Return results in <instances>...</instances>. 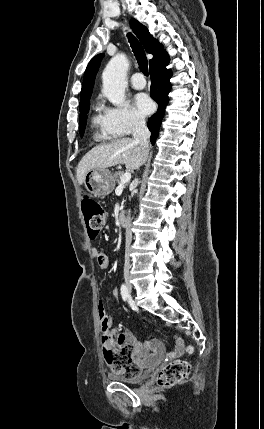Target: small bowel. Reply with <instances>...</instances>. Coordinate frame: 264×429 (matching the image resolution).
I'll list each match as a JSON object with an SVG mask.
<instances>
[{"label": "small bowel", "instance_id": "small-bowel-1", "mask_svg": "<svg viewBox=\"0 0 264 429\" xmlns=\"http://www.w3.org/2000/svg\"><path fill=\"white\" fill-rule=\"evenodd\" d=\"M92 255L96 257L100 268L106 269L109 266V258L105 253L99 251L97 248H93ZM113 294L117 298L118 290L115 289ZM99 304L104 306L101 302ZM110 324L111 319H109V325ZM128 339L133 346L134 355L141 368L152 367L164 358L179 356L183 352V345L181 343L177 345L173 352L167 354L164 345L159 340L154 339L147 343H142L133 336H129Z\"/></svg>", "mask_w": 264, "mask_h": 429}]
</instances>
